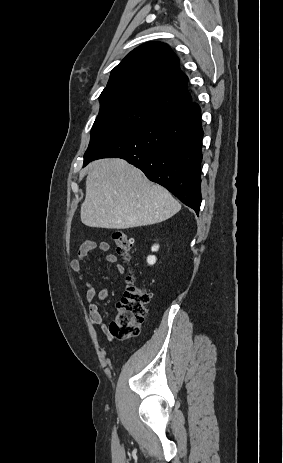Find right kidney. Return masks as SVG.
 I'll use <instances>...</instances> for the list:
<instances>
[{
	"label": "right kidney",
	"instance_id": "1",
	"mask_svg": "<svg viewBox=\"0 0 283 463\" xmlns=\"http://www.w3.org/2000/svg\"><path fill=\"white\" fill-rule=\"evenodd\" d=\"M158 249H159V245H157V244L153 245L152 248H151V250L153 252L158 251ZM156 260L157 259H156V257L154 255H150V256L147 257V262H148L149 265H154L156 263Z\"/></svg>",
	"mask_w": 283,
	"mask_h": 463
}]
</instances>
